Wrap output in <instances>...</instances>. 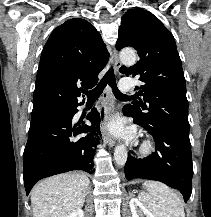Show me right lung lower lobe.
<instances>
[{"mask_svg":"<svg viewBox=\"0 0 211 217\" xmlns=\"http://www.w3.org/2000/svg\"><path fill=\"white\" fill-rule=\"evenodd\" d=\"M79 105L71 107L62 115L31 120L23 154L27 195L42 178L72 170H84L89 174L94 172V147L99 141L93 133L99 128L100 114L94 109L87 116L91 125L84 122L73 125L72 118L78 112ZM88 132L85 137L73 139Z\"/></svg>","mask_w":211,"mask_h":217,"instance_id":"98d812e1","label":"right lung lower lobe"}]
</instances>
